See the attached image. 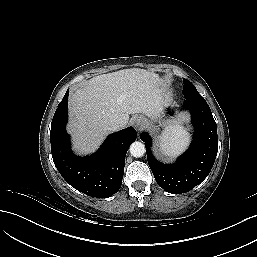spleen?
I'll return each mask as SVG.
<instances>
[{
    "label": "spleen",
    "instance_id": "obj_1",
    "mask_svg": "<svg viewBox=\"0 0 257 257\" xmlns=\"http://www.w3.org/2000/svg\"><path fill=\"white\" fill-rule=\"evenodd\" d=\"M188 141L187 131L181 125L173 124L163 130L159 138V145L165 156L173 157L187 146Z\"/></svg>",
    "mask_w": 257,
    "mask_h": 257
}]
</instances>
